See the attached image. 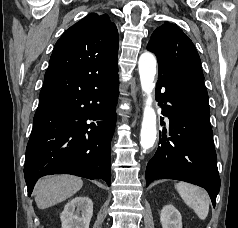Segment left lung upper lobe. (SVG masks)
Returning a JSON list of instances; mask_svg holds the SVG:
<instances>
[{
	"instance_id": "obj_1",
	"label": "left lung upper lobe",
	"mask_w": 238,
	"mask_h": 228,
	"mask_svg": "<svg viewBox=\"0 0 238 228\" xmlns=\"http://www.w3.org/2000/svg\"><path fill=\"white\" fill-rule=\"evenodd\" d=\"M147 49L158 59V78L169 76L208 101L200 57L192 41L178 26L165 22L158 27L153 32Z\"/></svg>"
}]
</instances>
